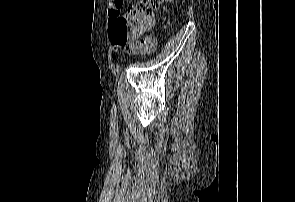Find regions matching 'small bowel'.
I'll return each mask as SVG.
<instances>
[{
	"label": "small bowel",
	"mask_w": 295,
	"mask_h": 202,
	"mask_svg": "<svg viewBox=\"0 0 295 202\" xmlns=\"http://www.w3.org/2000/svg\"><path fill=\"white\" fill-rule=\"evenodd\" d=\"M124 2L125 0H109L108 1V14H109L110 20L114 21L122 13ZM153 24H154V21L150 19L149 27H152ZM145 41L151 43L152 48L149 51H152L156 46L155 38L152 36H149L145 38ZM126 48L130 52H139L137 47L132 45H127Z\"/></svg>",
	"instance_id": "obj_1"
}]
</instances>
